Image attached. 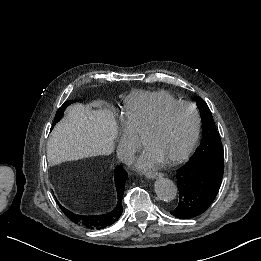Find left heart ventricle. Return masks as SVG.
I'll return each mask as SVG.
<instances>
[{"label": "left heart ventricle", "instance_id": "b2bd125f", "mask_svg": "<svg viewBox=\"0 0 261 261\" xmlns=\"http://www.w3.org/2000/svg\"><path fill=\"white\" fill-rule=\"evenodd\" d=\"M194 115L183 107H172L156 119L136 128L139 140L147 144L160 158L179 152L190 138Z\"/></svg>", "mask_w": 261, "mask_h": 261}]
</instances>
